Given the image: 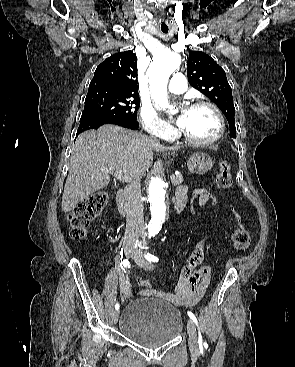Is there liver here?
<instances>
[{
    "mask_svg": "<svg viewBox=\"0 0 295 367\" xmlns=\"http://www.w3.org/2000/svg\"><path fill=\"white\" fill-rule=\"evenodd\" d=\"M164 147L151 138L114 125L81 133L72 150L69 172L62 195L64 213L95 191L109 184V170L124 171L131 180L140 181L153 161V152L178 150Z\"/></svg>",
    "mask_w": 295,
    "mask_h": 367,
    "instance_id": "1",
    "label": "liver"
}]
</instances>
